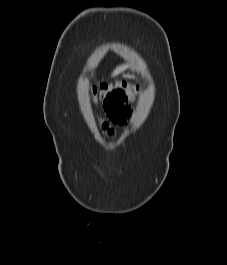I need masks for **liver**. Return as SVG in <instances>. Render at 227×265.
<instances>
[{"label": "liver", "mask_w": 227, "mask_h": 265, "mask_svg": "<svg viewBox=\"0 0 227 265\" xmlns=\"http://www.w3.org/2000/svg\"><path fill=\"white\" fill-rule=\"evenodd\" d=\"M127 66L126 65H121L118 66L112 73V76H115L117 74H119L121 71H123Z\"/></svg>", "instance_id": "6515ba94"}]
</instances>
